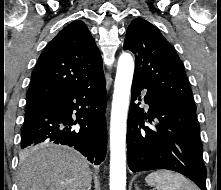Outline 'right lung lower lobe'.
<instances>
[{
    "instance_id": "right-lung-lower-lobe-1",
    "label": "right lung lower lobe",
    "mask_w": 221,
    "mask_h": 190,
    "mask_svg": "<svg viewBox=\"0 0 221 190\" xmlns=\"http://www.w3.org/2000/svg\"><path fill=\"white\" fill-rule=\"evenodd\" d=\"M104 74L25 111L21 148L41 142L68 145L99 165L107 149ZM76 111L75 117L73 112Z\"/></svg>"
}]
</instances>
